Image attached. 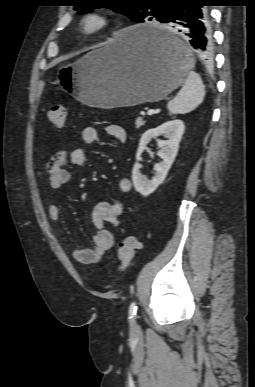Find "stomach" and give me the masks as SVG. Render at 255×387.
I'll list each match as a JSON object with an SVG mask.
<instances>
[{
	"label": "stomach",
	"instance_id": "stomach-1",
	"mask_svg": "<svg viewBox=\"0 0 255 387\" xmlns=\"http://www.w3.org/2000/svg\"><path fill=\"white\" fill-rule=\"evenodd\" d=\"M164 30L146 23L120 31L103 47L58 69V83L80 102L99 108L156 102L181 86L193 65L189 47L174 33L182 54L169 55L143 33ZM166 31V30H164Z\"/></svg>",
	"mask_w": 255,
	"mask_h": 387
}]
</instances>
